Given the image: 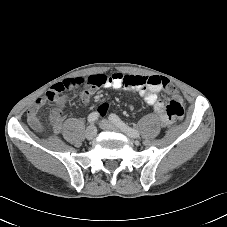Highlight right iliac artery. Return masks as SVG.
I'll use <instances>...</instances> for the list:
<instances>
[{"instance_id": "82829eb1", "label": "right iliac artery", "mask_w": 227, "mask_h": 227, "mask_svg": "<svg viewBox=\"0 0 227 227\" xmlns=\"http://www.w3.org/2000/svg\"><path fill=\"white\" fill-rule=\"evenodd\" d=\"M99 117V113L97 112H92L91 114H89L88 116V122L90 124H93Z\"/></svg>"}]
</instances>
